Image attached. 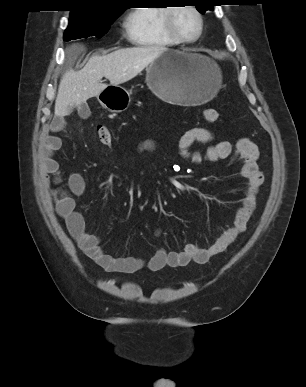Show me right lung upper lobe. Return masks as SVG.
<instances>
[{
    "label": "right lung upper lobe",
    "mask_w": 306,
    "mask_h": 387,
    "mask_svg": "<svg viewBox=\"0 0 306 387\" xmlns=\"http://www.w3.org/2000/svg\"><path fill=\"white\" fill-rule=\"evenodd\" d=\"M70 17H95L124 10L121 0H75Z\"/></svg>",
    "instance_id": "right-lung-upper-lobe-1"
}]
</instances>
